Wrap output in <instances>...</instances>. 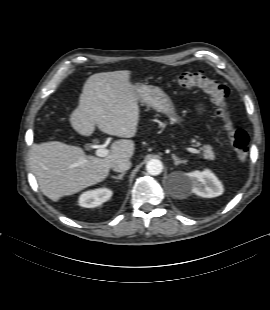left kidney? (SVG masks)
Segmentation results:
<instances>
[{
  "label": "left kidney",
  "instance_id": "obj_1",
  "mask_svg": "<svg viewBox=\"0 0 270 310\" xmlns=\"http://www.w3.org/2000/svg\"><path fill=\"white\" fill-rule=\"evenodd\" d=\"M190 192L203 198H213L223 194L222 183L209 170L202 172L193 171L183 175L182 185L179 188V195L186 196Z\"/></svg>",
  "mask_w": 270,
  "mask_h": 310
}]
</instances>
